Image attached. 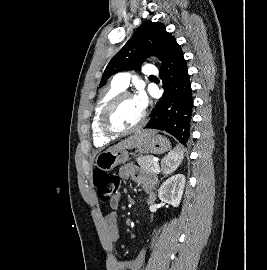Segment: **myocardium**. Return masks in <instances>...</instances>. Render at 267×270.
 <instances>
[{
  "label": "myocardium",
  "instance_id": "1",
  "mask_svg": "<svg viewBox=\"0 0 267 270\" xmlns=\"http://www.w3.org/2000/svg\"><path fill=\"white\" fill-rule=\"evenodd\" d=\"M128 98H133V95L129 92H120L119 94L114 96L102 110V113L100 115V129L105 136L113 139L126 136L138 131L145 125L147 121V114L145 111H143L141 120L135 126L126 130H119L113 126L112 124L113 112L123 100Z\"/></svg>",
  "mask_w": 267,
  "mask_h": 270
}]
</instances>
